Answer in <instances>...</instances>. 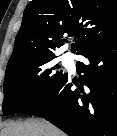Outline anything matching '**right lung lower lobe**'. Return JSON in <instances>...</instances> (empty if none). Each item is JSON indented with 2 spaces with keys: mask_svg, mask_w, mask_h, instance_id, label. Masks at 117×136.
Here are the masks:
<instances>
[{
  "mask_svg": "<svg viewBox=\"0 0 117 136\" xmlns=\"http://www.w3.org/2000/svg\"><path fill=\"white\" fill-rule=\"evenodd\" d=\"M79 55L88 60L76 64L80 84L67 75L17 113L43 117L69 136H117V31Z\"/></svg>",
  "mask_w": 117,
  "mask_h": 136,
  "instance_id": "98d812e1",
  "label": "right lung lower lobe"
}]
</instances>
